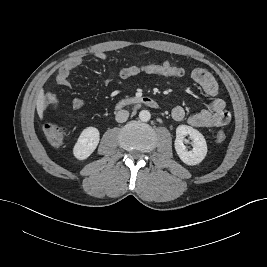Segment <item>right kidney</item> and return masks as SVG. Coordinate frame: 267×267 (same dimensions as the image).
Listing matches in <instances>:
<instances>
[{"mask_svg": "<svg viewBox=\"0 0 267 267\" xmlns=\"http://www.w3.org/2000/svg\"><path fill=\"white\" fill-rule=\"evenodd\" d=\"M100 133L97 128L95 127H87L85 128L74 148H73V154L76 159L78 160H85L87 159L93 151L96 149L99 140H100Z\"/></svg>", "mask_w": 267, "mask_h": 267, "instance_id": "ca27d5eb", "label": "right kidney"}]
</instances>
